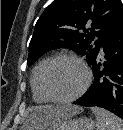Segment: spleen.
I'll list each match as a JSON object with an SVG mask.
<instances>
[{"mask_svg": "<svg viewBox=\"0 0 123 130\" xmlns=\"http://www.w3.org/2000/svg\"><path fill=\"white\" fill-rule=\"evenodd\" d=\"M96 116L97 130H123V120L111 112L98 107H92Z\"/></svg>", "mask_w": 123, "mask_h": 130, "instance_id": "spleen-1", "label": "spleen"}]
</instances>
